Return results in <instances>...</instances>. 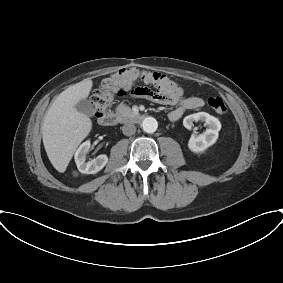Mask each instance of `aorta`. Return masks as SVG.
I'll return each instance as SVG.
<instances>
[{"label": "aorta", "mask_w": 283, "mask_h": 283, "mask_svg": "<svg viewBox=\"0 0 283 283\" xmlns=\"http://www.w3.org/2000/svg\"><path fill=\"white\" fill-rule=\"evenodd\" d=\"M158 128V122L153 117H147L142 122V129L146 133H154Z\"/></svg>", "instance_id": "762f6f07"}]
</instances>
